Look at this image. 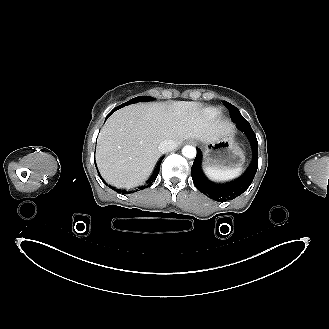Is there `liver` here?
Wrapping results in <instances>:
<instances>
[{
  "label": "liver",
  "mask_w": 329,
  "mask_h": 329,
  "mask_svg": "<svg viewBox=\"0 0 329 329\" xmlns=\"http://www.w3.org/2000/svg\"><path fill=\"white\" fill-rule=\"evenodd\" d=\"M234 126L212 107L193 101L129 106L113 113L101 129L96 162L102 177L117 188H131L152 173L160 142L185 139L208 143L227 136Z\"/></svg>",
  "instance_id": "6515ba94"
}]
</instances>
